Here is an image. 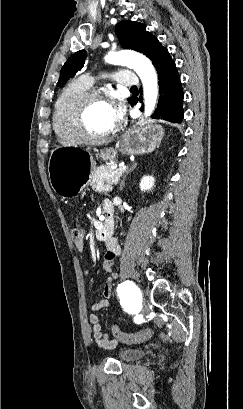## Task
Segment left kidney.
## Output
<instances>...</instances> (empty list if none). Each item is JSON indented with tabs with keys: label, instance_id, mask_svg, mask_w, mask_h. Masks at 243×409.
<instances>
[{
	"label": "left kidney",
	"instance_id": "obj_1",
	"mask_svg": "<svg viewBox=\"0 0 243 409\" xmlns=\"http://www.w3.org/2000/svg\"><path fill=\"white\" fill-rule=\"evenodd\" d=\"M155 183V179L153 176H144L140 182V189L143 192L150 191Z\"/></svg>",
	"mask_w": 243,
	"mask_h": 409
}]
</instances>
